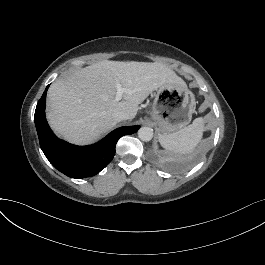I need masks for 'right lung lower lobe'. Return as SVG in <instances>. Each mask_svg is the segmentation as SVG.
Returning a JSON list of instances; mask_svg holds the SVG:
<instances>
[{"label":"right lung lower lobe","instance_id":"right-lung-lower-lobe-1","mask_svg":"<svg viewBox=\"0 0 265 265\" xmlns=\"http://www.w3.org/2000/svg\"><path fill=\"white\" fill-rule=\"evenodd\" d=\"M48 87L37 103L34 121L40 147L49 162L63 174L76 179L91 177L103 170L113 159L117 141L124 135L138 131L140 126H124L109 133L95 145L75 146L58 139L45 118Z\"/></svg>","mask_w":265,"mask_h":265}]
</instances>
